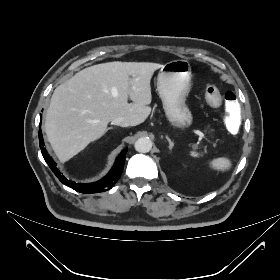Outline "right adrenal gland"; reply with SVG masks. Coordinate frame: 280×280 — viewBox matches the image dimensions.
I'll return each mask as SVG.
<instances>
[{
    "label": "right adrenal gland",
    "instance_id": "2a0ac1e0",
    "mask_svg": "<svg viewBox=\"0 0 280 280\" xmlns=\"http://www.w3.org/2000/svg\"><path fill=\"white\" fill-rule=\"evenodd\" d=\"M110 129H113V127H109V128H107V130H106V131H108V130H110Z\"/></svg>",
    "mask_w": 280,
    "mask_h": 280
}]
</instances>
